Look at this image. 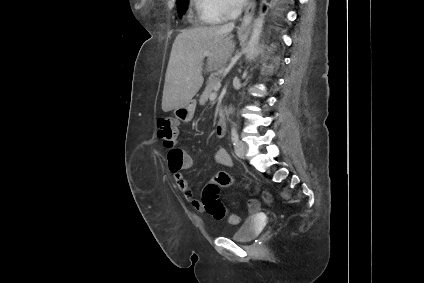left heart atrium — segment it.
I'll use <instances>...</instances> for the list:
<instances>
[{"instance_id": "obj_1", "label": "left heart atrium", "mask_w": 424, "mask_h": 283, "mask_svg": "<svg viewBox=\"0 0 424 283\" xmlns=\"http://www.w3.org/2000/svg\"><path fill=\"white\" fill-rule=\"evenodd\" d=\"M240 4L244 3L246 0H238Z\"/></svg>"}]
</instances>
